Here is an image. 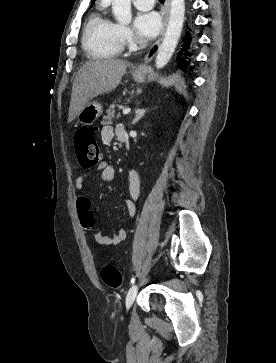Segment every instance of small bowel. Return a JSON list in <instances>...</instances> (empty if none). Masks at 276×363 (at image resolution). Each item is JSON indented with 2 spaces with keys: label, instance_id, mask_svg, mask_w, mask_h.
Returning <instances> with one entry per match:
<instances>
[{
  "label": "small bowel",
  "instance_id": "small-bowel-1",
  "mask_svg": "<svg viewBox=\"0 0 276 363\" xmlns=\"http://www.w3.org/2000/svg\"><path fill=\"white\" fill-rule=\"evenodd\" d=\"M121 133H126V129L123 125L111 126L105 125L101 130V140L104 144L108 145L113 138L119 139ZM97 171L100 172V178L103 182H112L115 179L114 167L108 165L105 162L100 163L94 170L84 173L78 176L75 180V187L78 191L85 189V180L90 173ZM129 193L130 196L124 198V204L127 212L131 218H134L137 213L138 202L140 198V176L139 173L132 169L129 173ZM77 209L84 214L85 220L89 223L86 227L91 231L94 241L100 245H119L126 240L127 232L124 228L118 229L115 235L108 236L100 232L93 231V215L90 211V200L85 195H79L77 197Z\"/></svg>",
  "mask_w": 276,
  "mask_h": 363
}]
</instances>
